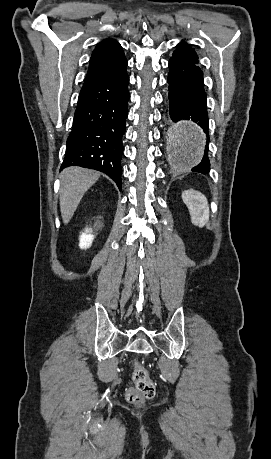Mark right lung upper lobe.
Segmentation results:
<instances>
[{
	"label": "right lung upper lobe",
	"instance_id": "1",
	"mask_svg": "<svg viewBox=\"0 0 271 459\" xmlns=\"http://www.w3.org/2000/svg\"><path fill=\"white\" fill-rule=\"evenodd\" d=\"M127 60L121 45L114 39H105L94 49L89 70L82 88L126 71Z\"/></svg>",
	"mask_w": 271,
	"mask_h": 459
}]
</instances>
